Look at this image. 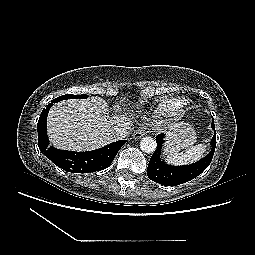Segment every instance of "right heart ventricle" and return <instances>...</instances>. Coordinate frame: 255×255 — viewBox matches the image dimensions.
Wrapping results in <instances>:
<instances>
[{"label": "right heart ventricle", "mask_w": 255, "mask_h": 255, "mask_svg": "<svg viewBox=\"0 0 255 255\" xmlns=\"http://www.w3.org/2000/svg\"><path fill=\"white\" fill-rule=\"evenodd\" d=\"M186 105V100L171 98L161 102L154 110L157 116H173L182 110Z\"/></svg>", "instance_id": "right-heart-ventricle-1"}]
</instances>
